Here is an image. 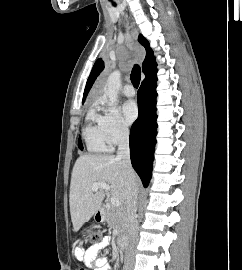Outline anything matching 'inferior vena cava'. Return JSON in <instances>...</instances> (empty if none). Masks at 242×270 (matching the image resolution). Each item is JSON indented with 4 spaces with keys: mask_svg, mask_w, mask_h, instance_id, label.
Masks as SVG:
<instances>
[{
    "mask_svg": "<svg viewBox=\"0 0 242 270\" xmlns=\"http://www.w3.org/2000/svg\"><path fill=\"white\" fill-rule=\"evenodd\" d=\"M116 157L122 161L126 180L125 216L128 223V246L125 252V268L131 270L134 265V248L138 240V221L136 218L138 187L130 161L128 129L123 130L120 135Z\"/></svg>",
    "mask_w": 242,
    "mask_h": 270,
    "instance_id": "obj_1",
    "label": "inferior vena cava"
}]
</instances>
